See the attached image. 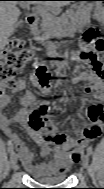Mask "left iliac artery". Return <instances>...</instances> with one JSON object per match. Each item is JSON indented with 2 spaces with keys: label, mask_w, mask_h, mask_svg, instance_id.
I'll list each match as a JSON object with an SVG mask.
<instances>
[{
  "label": "left iliac artery",
  "mask_w": 104,
  "mask_h": 189,
  "mask_svg": "<svg viewBox=\"0 0 104 189\" xmlns=\"http://www.w3.org/2000/svg\"><path fill=\"white\" fill-rule=\"evenodd\" d=\"M87 154H88L89 156L93 154V150H92L91 147H88V149H87Z\"/></svg>",
  "instance_id": "left-iliac-artery-1"
}]
</instances>
